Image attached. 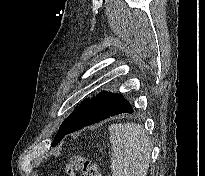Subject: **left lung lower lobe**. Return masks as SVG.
Here are the masks:
<instances>
[{
    "label": "left lung lower lobe",
    "instance_id": "0a47b994",
    "mask_svg": "<svg viewBox=\"0 0 205 176\" xmlns=\"http://www.w3.org/2000/svg\"><path fill=\"white\" fill-rule=\"evenodd\" d=\"M122 113H133L129 102L120 94L101 92L95 98L86 99L79 105L64 136Z\"/></svg>",
    "mask_w": 205,
    "mask_h": 176
}]
</instances>
